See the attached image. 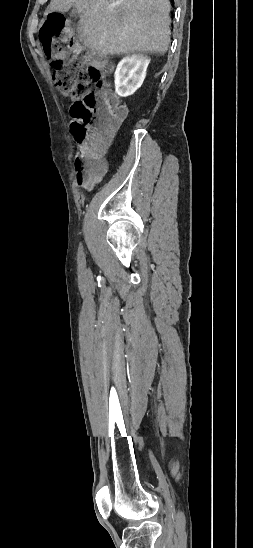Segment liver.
<instances>
[{"label": "liver", "instance_id": "liver-1", "mask_svg": "<svg viewBox=\"0 0 253 548\" xmlns=\"http://www.w3.org/2000/svg\"><path fill=\"white\" fill-rule=\"evenodd\" d=\"M71 7L80 15L83 45L99 56L168 50V0H51L46 14Z\"/></svg>", "mask_w": 253, "mask_h": 548}]
</instances>
